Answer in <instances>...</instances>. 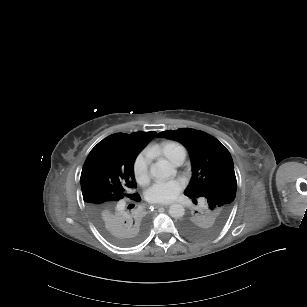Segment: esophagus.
Returning <instances> with one entry per match:
<instances>
[{
  "label": "esophagus",
  "mask_w": 307,
  "mask_h": 307,
  "mask_svg": "<svg viewBox=\"0 0 307 307\" xmlns=\"http://www.w3.org/2000/svg\"><path fill=\"white\" fill-rule=\"evenodd\" d=\"M154 208H160V207H163V205L162 204H153L152 205Z\"/></svg>",
  "instance_id": "34e87169"
}]
</instances>
